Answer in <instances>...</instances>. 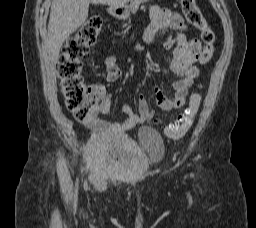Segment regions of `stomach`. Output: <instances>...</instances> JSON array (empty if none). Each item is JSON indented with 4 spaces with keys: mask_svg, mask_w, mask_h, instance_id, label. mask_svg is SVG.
Segmentation results:
<instances>
[{
    "mask_svg": "<svg viewBox=\"0 0 256 228\" xmlns=\"http://www.w3.org/2000/svg\"><path fill=\"white\" fill-rule=\"evenodd\" d=\"M119 18H122V19H125V18H127L128 17V13L126 12V11H122L121 10V12H119V14L117 15Z\"/></svg>",
    "mask_w": 256,
    "mask_h": 228,
    "instance_id": "stomach-1",
    "label": "stomach"
}]
</instances>
